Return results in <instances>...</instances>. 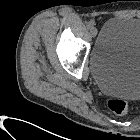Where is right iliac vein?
<instances>
[{"instance_id":"1","label":"right iliac vein","mask_w":140,"mask_h":140,"mask_svg":"<svg viewBox=\"0 0 140 140\" xmlns=\"http://www.w3.org/2000/svg\"><path fill=\"white\" fill-rule=\"evenodd\" d=\"M90 32H91V35H92L93 37H95L96 34H97V28H95V27L91 28Z\"/></svg>"}]
</instances>
